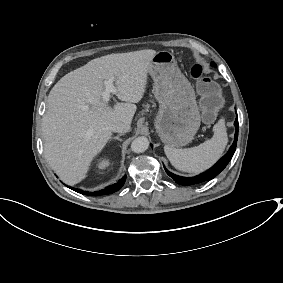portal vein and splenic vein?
<instances>
[{
  "instance_id": "1",
  "label": "portal vein and splenic vein",
  "mask_w": 283,
  "mask_h": 283,
  "mask_svg": "<svg viewBox=\"0 0 283 283\" xmlns=\"http://www.w3.org/2000/svg\"><path fill=\"white\" fill-rule=\"evenodd\" d=\"M104 84L106 86V90L104 93V97L107 98L108 93H112L114 95H118V89L113 85L112 80H105ZM108 99V98H107Z\"/></svg>"
}]
</instances>
